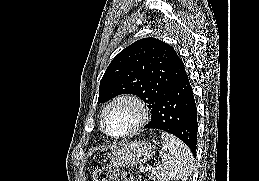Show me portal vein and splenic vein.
I'll use <instances>...</instances> for the list:
<instances>
[{
  "label": "portal vein and splenic vein",
  "mask_w": 259,
  "mask_h": 181,
  "mask_svg": "<svg viewBox=\"0 0 259 181\" xmlns=\"http://www.w3.org/2000/svg\"><path fill=\"white\" fill-rule=\"evenodd\" d=\"M140 170L143 172H148V167H142Z\"/></svg>",
  "instance_id": "18ae733b"
}]
</instances>
